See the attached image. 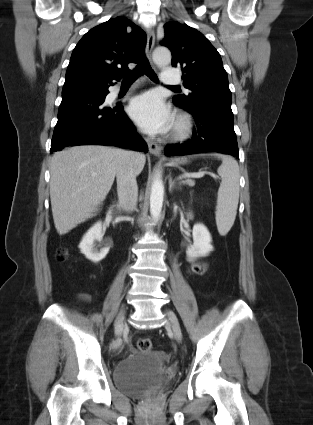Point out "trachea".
Here are the masks:
<instances>
[{"instance_id":"obj_1","label":"trachea","mask_w":313,"mask_h":425,"mask_svg":"<svg viewBox=\"0 0 313 425\" xmlns=\"http://www.w3.org/2000/svg\"><path fill=\"white\" fill-rule=\"evenodd\" d=\"M147 75L150 79L157 81V75L150 66L149 61L144 57L136 68L127 74L123 82H133L141 75ZM171 88H178L177 86H169Z\"/></svg>"}]
</instances>
